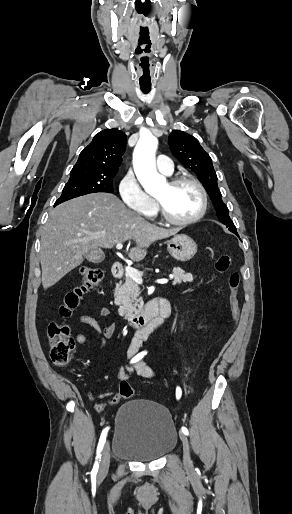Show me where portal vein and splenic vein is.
I'll return each mask as SVG.
<instances>
[{
  "label": "portal vein and splenic vein",
  "instance_id": "1",
  "mask_svg": "<svg viewBox=\"0 0 292 514\" xmlns=\"http://www.w3.org/2000/svg\"><path fill=\"white\" fill-rule=\"evenodd\" d=\"M93 238H95V236H93ZM121 248H123L122 244H117L116 250H121ZM125 272L126 276H130L132 280H135V282H138V284H142L143 280L138 270H135V268H130V266H126ZM156 282L157 284H167L168 280H156Z\"/></svg>",
  "mask_w": 292,
  "mask_h": 514
}]
</instances>
